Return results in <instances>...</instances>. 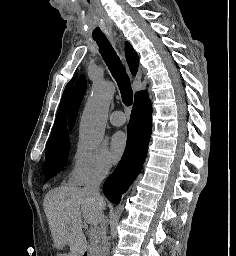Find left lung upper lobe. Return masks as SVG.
<instances>
[{"label": "left lung upper lobe", "mask_w": 236, "mask_h": 256, "mask_svg": "<svg viewBox=\"0 0 236 256\" xmlns=\"http://www.w3.org/2000/svg\"><path fill=\"white\" fill-rule=\"evenodd\" d=\"M86 90V80L83 75H81L77 82L76 85L73 89L71 99H70V104H69V128L70 130L73 128L77 113L80 107L81 100L84 96Z\"/></svg>", "instance_id": "left-lung-upper-lobe-1"}]
</instances>
